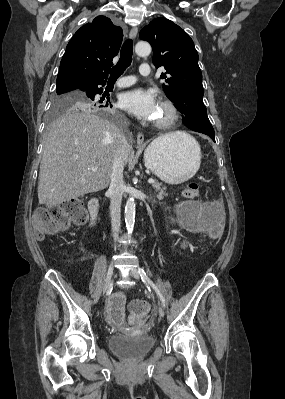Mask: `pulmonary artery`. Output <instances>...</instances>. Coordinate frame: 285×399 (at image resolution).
Here are the masks:
<instances>
[{"instance_id": "pulmonary-artery-1", "label": "pulmonary artery", "mask_w": 285, "mask_h": 399, "mask_svg": "<svg viewBox=\"0 0 285 399\" xmlns=\"http://www.w3.org/2000/svg\"><path fill=\"white\" fill-rule=\"evenodd\" d=\"M139 74H140L142 77H149V76H151L152 71H151L150 64H149V63H141V65H140V67H139ZM134 82H135V80H134L132 77L127 76V77H123L122 79H120V80L116 83V85H117L118 87H127V86L132 85Z\"/></svg>"}]
</instances>
